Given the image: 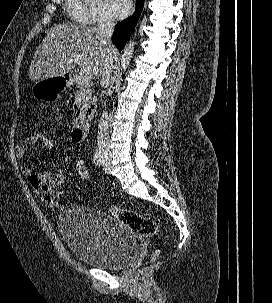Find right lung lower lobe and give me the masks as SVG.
Segmentation results:
<instances>
[{"label":"right lung lower lobe","instance_id":"right-lung-lower-lobe-1","mask_svg":"<svg viewBox=\"0 0 272 303\" xmlns=\"http://www.w3.org/2000/svg\"><path fill=\"white\" fill-rule=\"evenodd\" d=\"M144 0H137L136 12L130 18L118 23L115 26V30L112 36V41L116 45L119 51L122 50L126 41L129 39L132 34L136 23L139 19V16L142 11Z\"/></svg>","mask_w":272,"mask_h":303}]
</instances>
